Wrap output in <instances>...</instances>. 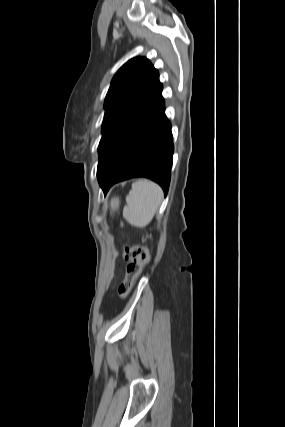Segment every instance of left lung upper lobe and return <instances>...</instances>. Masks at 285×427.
Here are the masks:
<instances>
[{"instance_id":"5c2ea615","label":"left lung upper lobe","mask_w":285,"mask_h":427,"mask_svg":"<svg viewBox=\"0 0 285 427\" xmlns=\"http://www.w3.org/2000/svg\"><path fill=\"white\" fill-rule=\"evenodd\" d=\"M161 88L159 73L147 58H133L118 70L105 98L100 158L152 103Z\"/></svg>"}]
</instances>
